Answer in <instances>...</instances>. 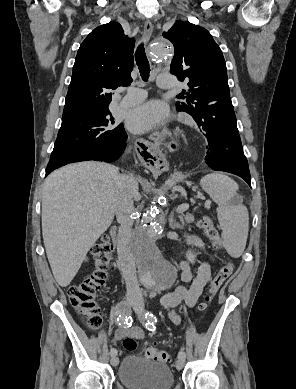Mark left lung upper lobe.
<instances>
[{
	"label": "left lung upper lobe",
	"instance_id": "left-lung-upper-lobe-1",
	"mask_svg": "<svg viewBox=\"0 0 296 389\" xmlns=\"http://www.w3.org/2000/svg\"><path fill=\"white\" fill-rule=\"evenodd\" d=\"M174 45L171 73L179 80H187L189 90L177 97L178 111L190 114L200 127L211 107L230 98L226 63L221 49L203 27L190 22L176 21L163 33Z\"/></svg>",
	"mask_w": 296,
	"mask_h": 389
}]
</instances>
